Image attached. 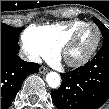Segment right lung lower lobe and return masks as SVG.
<instances>
[{"mask_svg":"<svg viewBox=\"0 0 109 109\" xmlns=\"http://www.w3.org/2000/svg\"><path fill=\"white\" fill-rule=\"evenodd\" d=\"M19 45L1 38V109L7 108L17 95L25 78L36 73L40 65L23 61Z\"/></svg>","mask_w":109,"mask_h":109,"instance_id":"obj_1","label":"right lung lower lobe"}]
</instances>
